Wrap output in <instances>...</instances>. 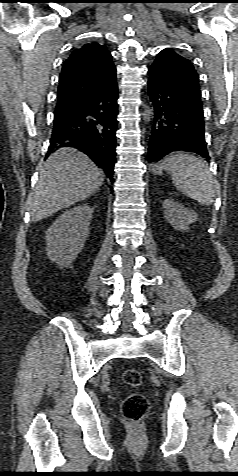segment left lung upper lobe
<instances>
[{"instance_id":"1","label":"left lung upper lobe","mask_w":238,"mask_h":476,"mask_svg":"<svg viewBox=\"0 0 238 476\" xmlns=\"http://www.w3.org/2000/svg\"><path fill=\"white\" fill-rule=\"evenodd\" d=\"M149 68L160 73L186 94L201 97L199 77L191 61L178 55L172 49L162 50Z\"/></svg>"}]
</instances>
